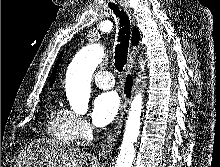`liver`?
I'll return each mask as SVG.
<instances>
[{
  "label": "liver",
  "mask_w": 220,
  "mask_h": 167,
  "mask_svg": "<svg viewBox=\"0 0 220 167\" xmlns=\"http://www.w3.org/2000/svg\"><path fill=\"white\" fill-rule=\"evenodd\" d=\"M86 160V152L79 148L37 139L20 153L14 167H83Z\"/></svg>",
  "instance_id": "obj_1"
}]
</instances>
